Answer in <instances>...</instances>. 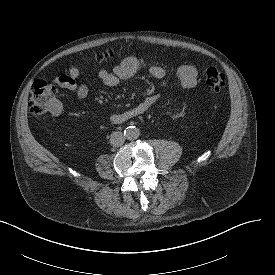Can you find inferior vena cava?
<instances>
[{
	"instance_id": "obj_1",
	"label": "inferior vena cava",
	"mask_w": 275,
	"mask_h": 275,
	"mask_svg": "<svg viewBox=\"0 0 275 275\" xmlns=\"http://www.w3.org/2000/svg\"><path fill=\"white\" fill-rule=\"evenodd\" d=\"M125 135L122 132H113L110 137V143L114 147L121 146L125 141Z\"/></svg>"
}]
</instances>
